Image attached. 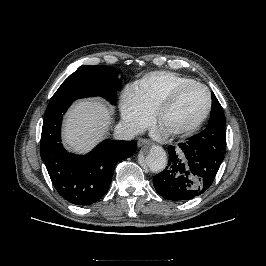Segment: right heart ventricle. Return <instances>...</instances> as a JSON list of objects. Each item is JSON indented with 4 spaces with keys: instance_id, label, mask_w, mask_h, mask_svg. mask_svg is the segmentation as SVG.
I'll list each match as a JSON object with an SVG mask.
<instances>
[{
    "instance_id": "e07e8e85",
    "label": "right heart ventricle",
    "mask_w": 266,
    "mask_h": 266,
    "mask_svg": "<svg viewBox=\"0 0 266 266\" xmlns=\"http://www.w3.org/2000/svg\"><path fill=\"white\" fill-rule=\"evenodd\" d=\"M194 80L169 71H155L144 75L130 86L139 103L152 114L162 98L174 87Z\"/></svg>"
}]
</instances>
